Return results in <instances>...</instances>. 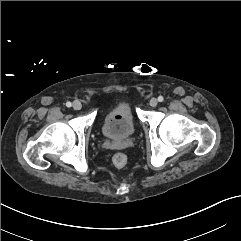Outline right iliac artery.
<instances>
[{"instance_id":"1","label":"right iliac artery","mask_w":241,"mask_h":241,"mask_svg":"<svg viewBox=\"0 0 241 241\" xmlns=\"http://www.w3.org/2000/svg\"><path fill=\"white\" fill-rule=\"evenodd\" d=\"M66 106H67V107H71V106H72V103L68 101V102L66 103Z\"/></svg>"}]
</instances>
